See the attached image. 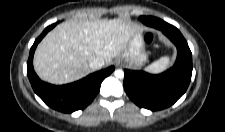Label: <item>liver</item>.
<instances>
[{
    "instance_id": "liver-1",
    "label": "liver",
    "mask_w": 225,
    "mask_h": 132,
    "mask_svg": "<svg viewBox=\"0 0 225 132\" xmlns=\"http://www.w3.org/2000/svg\"><path fill=\"white\" fill-rule=\"evenodd\" d=\"M137 32L135 25L121 18L63 22L38 45L34 69L42 80L52 84L79 80L92 72L89 64L95 58L110 65Z\"/></svg>"
}]
</instances>
